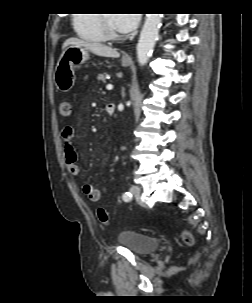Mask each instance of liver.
Wrapping results in <instances>:
<instances>
[{
	"instance_id": "1",
	"label": "liver",
	"mask_w": 252,
	"mask_h": 303,
	"mask_svg": "<svg viewBox=\"0 0 252 303\" xmlns=\"http://www.w3.org/2000/svg\"><path fill=\"white\" fill-rule=\"evenodd\" d=\"M70 45L82 46V47L86 48L87 50L91 51L92 53H94L95 55L102 56V57L118 58L120 56V54L118 53V51L116 49H113L107 45H104V44L98 43V42H90V41H85V40H82L79 38L71 37L63 43L62 48L65 49L66 47H68Z\"/></svg>"
}]
</instances>
